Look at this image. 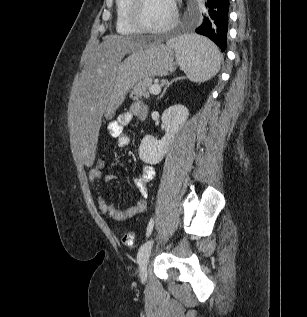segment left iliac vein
<instances>
[{
    "label": "left iliac vein",
    "instance_id": "left-iliac-vein-1",
    "mask_svg": "<svg viewBox=\"0 0 307 317\" xmlns=\"http://www.w3.org/2000/svg\"><path fill=\"white\" fill-rule=\"evenodd\" d=\"M153 244L154 240L150 239L147 242H145L138 251L137 262L139 265V276L142 282H144L147 277V267Z\"/></svg>",
    "mask_w": 307,
    "mask_h": 317
}]
</instances>
